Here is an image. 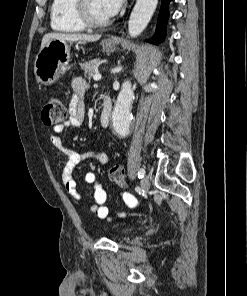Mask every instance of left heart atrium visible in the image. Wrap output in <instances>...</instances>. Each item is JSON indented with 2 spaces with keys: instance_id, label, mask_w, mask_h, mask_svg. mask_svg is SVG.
Returning <instances> with one entry per match:
<instances>
[{
  "instance_id": "1",
  "label": "left heart atrium",
  "mask_w": 247,
  "mask_h": 296,
  "mask_svg": "<svg viewBox=\"0 0 247 296\" xmlns=\"http://www.w3.org/2000/svg\"><path fill=\"white\" fill-rule=\"evenodd\" d=\"M104 14L110 18L114 16L122 6L123 0H100Z\"/></svg>"
}]
</instances>
